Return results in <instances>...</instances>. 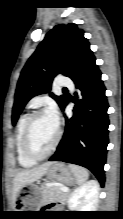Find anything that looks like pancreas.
Here are the masks:
<instances>
[{"instance_id":"1","label":"pancreas","mask_w":123,"mask_h":219,"mask_svg":"<svg viewBox=\"0 0 123 219\" xmlns=\"http://www.w3.org/2000/svg\"><path fill=\"white\" fill-rule=\"evenodd\" d=\"M43 204L50 202H64L68 198V193L61 190V187L51 186L42 189Z\"/></svg>"}]
</instances>
